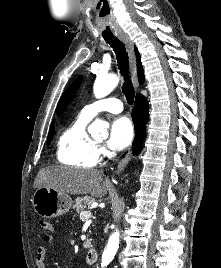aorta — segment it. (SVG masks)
<instances>
[{"label":"aorta","mask_w":221,"mask_h":268,"mask_svg":"<svg viewBox=\"0 0 221 268\" xmlns=\"http://www.w3.org/2000/svg\"><path fill=\"white\" fill-rule=\"evenodd\" d=\"M119 83V78L116 75L98 76L95 80L93 92L96 98H103L110 94ZM89 132H100L102 135H107V124L101 120L96 119L89 127ZM120 234L118 231L114 232L108 241L106 249L103 253V262L109 263L115 256L119 247Z\"/></svg>","instance_id":"1"}]
</instances>
